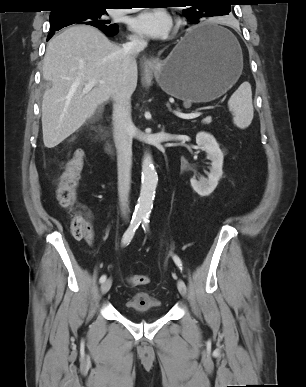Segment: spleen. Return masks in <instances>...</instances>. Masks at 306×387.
I'll list each match as a JSON object with an SVG mask.
<instances>
[{"instance_id":"1","label":"spleen","mask_w":306,"mask_h":387,"mask_svg":"<svg viewBox=\"0 0 306 387\" xmlns=\"http://www.w3.org/2000/svg\"><path fill=\"white\" fill-rule=\"evenodd\" d=\"M228 107L233 112V122L237 127L244 129L251 124L254 109L251 85L248 82L242 83L232 94L228 101Z\"/></svg>"}]
</instances>
